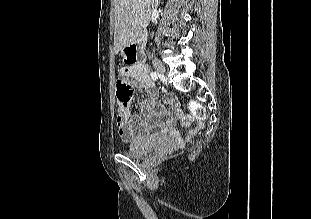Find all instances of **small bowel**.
<instances>
[{
	"instance_id": "c3829d8e",
	"label": "small bowel",
	"mask_w": 311,
	"mask_h": 219,
	"mask_svg": "<svg viewBox=\"0 0 311 219\" xmlns=\"http://www.w3.org/2000/svg\"><path fill=\"white\" fill-rule=\"evenodd\" d=\"M121 71L132 80L135 87L145 90L148 94L147 100L140 105L139 115H133L129 109L118 114L117 125L124 141L131 142L146 137L152 131L166 140L175 141L179 137L177 122L189 127L196 121L195 117L182 114L173 95L168 94L163 102L160 101L155 84L148 74V67L143 61L122 68Z\"/></svg>"
}]
</instances>
